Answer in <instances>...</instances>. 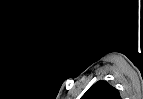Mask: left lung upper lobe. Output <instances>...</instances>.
Here are the masks:
<instances>
[{
    "label": "left lung upper lobe",
    "instance_id": "obj_1",
    "mask_svg": "<svg viewBox=\"0 0 143 99\" xmlns=\"http://www.w3.org/2000/svg\"><path fill=\"white\" fill-rule=\"evenodd\" d=\"M81 99H121L119 91L108 82L100 80L93 84Z\"/></svg>",
    "mask_w": 143,
    "mask_h": 99
}]
</instances>
